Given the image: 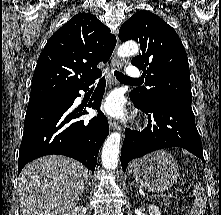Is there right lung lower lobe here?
<instances>
[{"instance_id": "obj_1", "label": "right lung lower lobe", "mask_w": 221, "mask_h": 215, "mask_svg": "<svg viewBox=\"0 0 221 215\" xmlns=\"http://www.w3.org/2000/svg\"><path fill=\"white\" fill-rule=\"evenodd\" d=\"M100 76L101 72L91 81L53 100L28 104L19 149L18 174L28 162L50 154L72 157L94 173L100 145L109 134L107 118L100 112L105 78L100 80L88 103L89 107L97 109L96 117L89 121L79 120L87 111L74 108L73 103L80 96L79 90L86 91Z\"/></svg>"}]
</instances>
